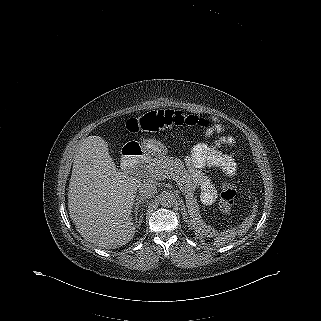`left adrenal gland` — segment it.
Here are the masks:
<instances>
[{
	"instance_id": "left-adrenal-gland-1",
	"label": "left adrenal gland",
	"mask_w": 321,
	"mask_h": 321,
	"mask_svg": "<svg viewBox=\"0 0 321 321\" xmlns=\"http://www.w3.org/2000/svg\"><path fill=\"white\" fill-rule=\"evenodd\" d=\"M186 216H187V213H184L183 218H184V220L187 222V220H186L187 217H186Z\"/></svg>"
}]
</instances>
